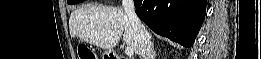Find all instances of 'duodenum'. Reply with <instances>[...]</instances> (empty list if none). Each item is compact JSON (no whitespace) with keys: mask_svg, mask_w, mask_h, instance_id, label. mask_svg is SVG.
<instances>
[{"mask_svg":"<svg viewBox=\"0 0 261 59\" xmlns=\"http://www.w3.org/2000/svg\"><path fill=\"white\" fill-rule=\"evenodd\" d=\"M110 59H126L125 57L110 53Z\"/></svg>","mask_w":261,"mask_h":59,"instance_id":"1","label":"duodenum"}]
</instances>
